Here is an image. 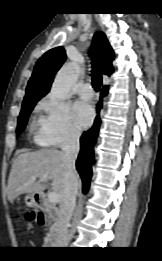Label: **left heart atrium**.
I'll use <instances>...</instances> for the list:
<instances>
[{"mask_svg": "<svg viewBox=\"0 0 162 261\" xmlns=\"http://www.w3.org/2000/svg\"><path fill=\"white\" fill-rule=\"evenodd\" d=\"M74 109L78 125L82 128L90 126L94 118L92 105L87 101H78Z\"/></svg>", "mask_w": 162, "mask_h": 261, "instance_id": "39dd6f15", "label": "left heart atrium"}]
</instances>
